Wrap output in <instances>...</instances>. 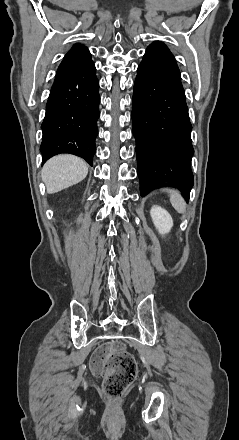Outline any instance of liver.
Here are the masks:
<instances>
[{
    "mask_svg": "<svg viewBox=\"0 0 239 440\" xmlns=\"http://www.w3.org/2000/svg\"><path fill=\"white\" fill-rule=\"evenodd\" d=\"M87 174L86 162L69 154L54 156L44 164L41 170V178L47 188V194H56L65 188H70L82 182Z\"/></svg>",
    "mask_w": 239,
    "mask_h": 440,
    "instance_id": "obj_1",
    "label": "liver"
}]
</instances>
